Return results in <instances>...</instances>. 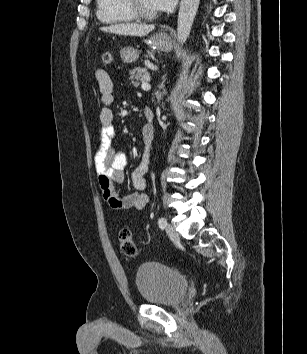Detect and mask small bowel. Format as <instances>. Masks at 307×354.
<instances>
[{
	"instance_id": "c3829d8e",
	"label": "small bowel",
	"mask_w": 307,
	"mask_h": 354,
	"mask_svg": "<svg viewBox=\"0 0 307 354\" xmlns=\"http://www.w3.org/2000/svg\"><path fill=\"white\" fill-rule=\"evenodd\" d=\"M98 83L102 108L100 121V146L95 156V168L100 189L107 204L115 210L136 209L142 210L149 201V196L143 191L147 182L145 174L150 166V146L153 141V128L146 125L142 129V139L146 146L143 157L138 166L131 173V182L136 192L119 196L115 191V184L124 180V170L127 166V156L124 152L115 150L113 141L116 135L114 115L111 105L114 101V85L110 75L104 69L94 72Z\"/></svg>"
}]
</instances>
